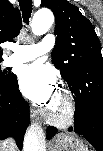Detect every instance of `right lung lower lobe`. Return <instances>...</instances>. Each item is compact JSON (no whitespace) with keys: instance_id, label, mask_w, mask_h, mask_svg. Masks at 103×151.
Masks as SVG:
<instances>
[{"instance_id":"1","label":"right lung lower lobe","mask_w":103,"mask_h":151,"mask_svg":"<svg viewBox=\"0 0 103 151\" xmlns=\"http://www.w3.org/2000/svg\"><path fill=\"white\" fill-rule=\"evenodd\" d=\"M28 124L29 105L18 89V82L0 84V140L13 137L18 148L22 149Z\"/></svg>"}]
</instances>
